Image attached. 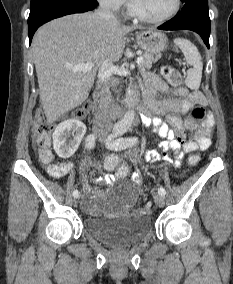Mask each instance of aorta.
Instances as JSON below:
<instances>
[{
	"instance_id": "1",
	"label": "aorta",
	"mask_w": 233,
	"mask_h": 284,
	"mask_svg": "<svg viewBox=\"0 0 233 284\" xmlns=\"http://www.w3.org/2000/svg\"><path fill=\"white\" fill-rule=\"evenodd\" d=\"M134 118H135L134 110L127 111L124 117L119 121L118 125L126 130L132 125Z\"/></svg>"
}]
</instances>
